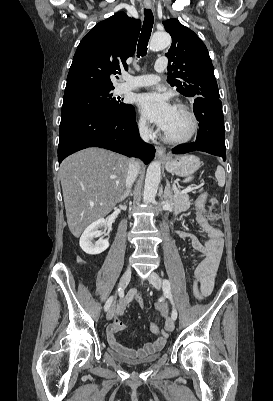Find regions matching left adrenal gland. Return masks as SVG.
<instances>
[{
	"mask_svg": "<svg viewBox=\"0 0 273 401\" xmlns=\"http://www.w3.org/2000/svg\"><path fill=\"white\" fill-rule=\"evenodd\" d=\"M172 188L168 178H166V186L164 188V194H161V198H171V196H173Z\"/></svg>",
	"mask_w": 273,
	"mask_h": 401,
	"instance_id": "left-adrenal-gland-1",
	"label": "left adrenal gland"
}]
</instances>
